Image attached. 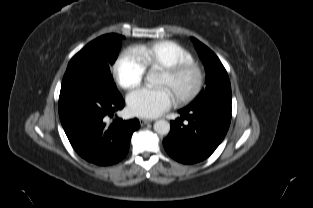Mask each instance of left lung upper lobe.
Listing matches in <instances>:
<instances>
[{
    "mask_svg": "<svg viewBox=\"0 0 313 208\" xmlns=\"http://www.w3.org/2000/svg\"><path fill=\"white\" fill-rule=\"evenodd\" d=\"M192 41L206 69L207 87L206 90L201 91L197 98L188 106H195L207 102H225L231 104V85L224 66L214 52L207 46L195 38H192Z\"/></svg>",
    "mask_w": 313,
    "mask_h": 208,
    "instance_id": "left-lung-upper-lobe-1",
    "label": "left lung upper lobe"
}]
</instances>
